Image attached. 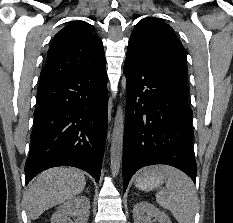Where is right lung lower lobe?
Returning a JSON list of instances; mask_svg holds the SVG:
<instances>
[{
    "label": "right lung lower lobe",
    "instance_id": "obj_1",
    "mask_svg": "<svg viewBox=\"0 0 233 223\" xmlns=\"http://www.w3.org/2000/svg\"><path fill=\"white\" fill-rule=\"evenodd\" d=\"M25 164L26 185L41 171L73 166L99 181L107 135L105 66L40 83Z\"/></svg>",
    "mask_w": 233,
    "mask_h": 223
}]
</instances>
